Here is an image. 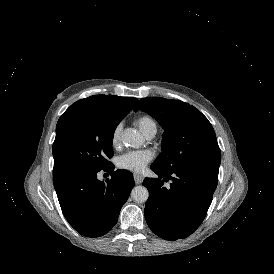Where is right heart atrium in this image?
I'll return each instance as SVG.
<instances>
[{
	"label": "right heart atrium",
	"instance_id": "right-heart-atrium-1",
	"mask_svg": "<svg viewBox=\"0 0 274 274\" xmlns=\"http://www.w3.org/2000/svg\"><path fill=\"white\" fill-rule=\"evenodd\" d=\"M119 142H120L119 130L115 129L112 133L111 144L114 148H116L119 145Z\"/></svg>",
	"mask_w": 274,
	"mask_h": 274
}]
</instances>
